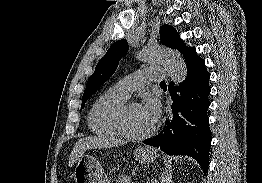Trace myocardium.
<instances>
[{
	"instance_id": "f54148a6",
	"label": "myocardium",
	"mask_w": 262,
	"mask_h": 183,
	"mask_svg": "<svg viewBox=\"0 0 262 183\" xmlns=\"http://www.w3.org/2000/svg\"><path fill=\"white\" fill-rule=\"evenodd\" d=\"M137 104L135 102H124L120 108L118 109L116 116H115V126L117 128V130L119 131V133L121 134L122 137L127 138V139H131V140H143L146 139L148 137H150L151 135H153V133L155 132V127L153 126L149 131L145 132V133H140V134H135L133 132H131L126 124V111L127 108L130 104Z\"/></svg>"
}]
</instances>
